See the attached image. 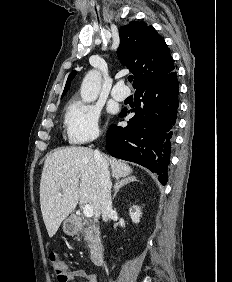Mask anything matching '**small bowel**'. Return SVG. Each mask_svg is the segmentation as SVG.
Listing matches in <instances>:
<instances>
[{
  "label": "small bowel",
  "instance_id": "c3829d8e",
  "mask_svg": "<svg viewBox=\"0 0 232 282\" xmlns=\"http://www.w3.org/2000/svg\"><path fill=\"white\" fill-rule=\"evenodd\" d=\"M75 279H80L81 282H99L97 274L90 269L71 270L67 274V278L65 279V281H60V280L58 281L68 282L69 280H75Z\"/></svg>",
  "mask_w": 232,
  "mask_h": 282
}]
</instances>
